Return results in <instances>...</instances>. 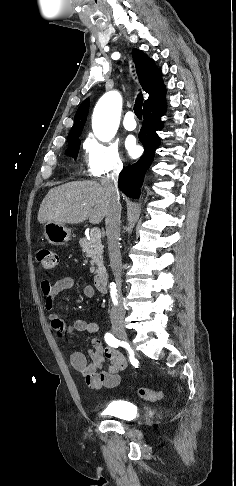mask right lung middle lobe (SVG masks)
Returning a JSON list of instances; mask_svg holds the SVG:
<instances>
[{"label": "right lung middle lobe", "instance_id": "obj_1", "mask_svg": "<svg viewBox=\"0 0 236 486\" xmlns=\"http://www.w3.org/2000/svg\"><path fill=\"white\" fill-rule=\"evenodd\" d=\"M79 148H80V141H78V139H74V140L69 142L67 154L76 159L77 155H78Z\"/></svg>", "mask_w": 236, "mask_h": 486}]
</instances>
